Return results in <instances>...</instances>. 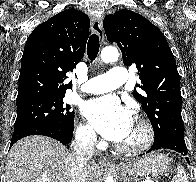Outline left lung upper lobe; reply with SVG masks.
Returning <instances> with one entry per match:
<instances>
[{"label":"left lung upper lobe","mask_w":196,"mask_h":182,"mask_svg":"<svg viewBox=\"0 0 196 182\" xmlns=\"http://www.w3.org/2000/svg\"><path fill=\"white\" fill-rule=\"evenodd\" d=\"M106 36L121 49L126 66L136 64L145 94L136 90L154 130V140L184 139L182 97L176 61L163 33L142 15L123 9L103 21Z\"/></svg>","instance_id":"left-lung-upper-lobe-1"}]
</instances>
